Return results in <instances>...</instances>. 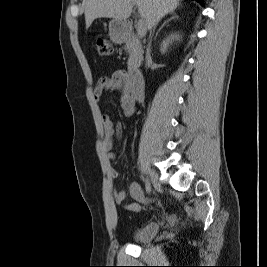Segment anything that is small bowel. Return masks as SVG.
I'll return each mask as SVG.
<instances>
[{
	"instance_id": "small-bowel-1",
	"label": "small bowel",
	"mask_w": 267,
	"mask_h": 267,
	"mask_svg": "<svg viewBox=\"0 0 267 267\" xmlns=\"http://www.w3.org/2000/svg\"><path fill=\"white\" fill-rule=\"evenodd\" d=\"M130 89L131 80L128 73L125 70H116L111 75L100 78L94 88L93 95L94 98L99 101L104 91L119 92L120 107L125 116H131L136 111V102L131 96ZM102 125L104 132L102 140L103 150L109 161H115L117 156L113 151L114 135H119L121 133V125L115 124L106 113L102 114ZM109 175L111 178L115 179L118 177V171L115 168L110 167ZM129 194L136 202L124 206L128 211L140 212L142 204L150 202V199L145 196L141 186L136 182H132L129 185ZM126 196L127 194L125 191L117 190L114 192V201L117 204H122L124 203Z\"/></svg>"
}]
</instances>
